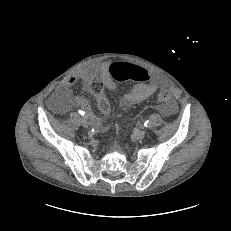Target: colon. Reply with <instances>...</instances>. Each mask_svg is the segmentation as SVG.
I'll return each mask as SVG.
<instances>
[{
  "instance_id": "1",
  "label": "colon",
  "mask_w": 231,
  "mask_h": 231,
  "mask_svg": "<svg viewBox=\"0 0 231 231\" xmlns=\"http://www.w3.org/2000/svg\"><path fill=\"white\" fill-rule=\"evenodd\" d=\"M109 74L114 81L123 82L126 80L144 81L147 79V72L139 65L128 62H115L109 67ZM91 92L98 97V107L104 113L110 111V104L104 96V83L101 79L95 78L90 84ZM171 95L168 91L158 94L160 102H169Z\"/></svg>"
}]
</instances>
